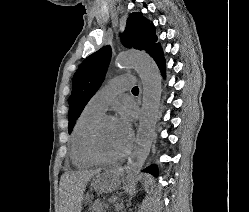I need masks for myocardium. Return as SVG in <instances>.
Instances as JSON below:
<instances>
[{
    "label": "myocardium",
    "mask_w": 249,
    "mask_h": 212,
    "mask_svg": "<svg viewBox=\"0 0 249 212\" xmlns=\"http://www.w3.org/2000/svg\"><path fill=\"white\" fill-rule=\"evenodd\" d=\"M107 120H115V118L109 115H101L89 127L86 137H85V141H84L85 152L87 156L95 164H100V165L116 164L120 162L122 159H124L130 151V148H127L122 154L114 158H105L99 154L96 148V135H97V132L100 126Z\"/></svg>",
    "instance_id": "f54148a6"
}]
</instances>
